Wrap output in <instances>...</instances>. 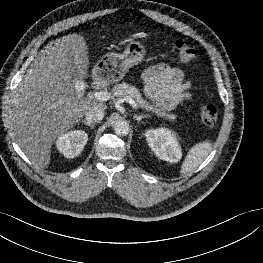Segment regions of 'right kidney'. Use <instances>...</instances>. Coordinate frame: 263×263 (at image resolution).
Listing matches in <instances>:
<instances>
[{
    "label": "right kidney",
    "mask_w": 263,
    "mask_h": 263,
    "mask_svg": "<svg viewBox=\"0 0 263 263\" xmlns=\"http://www.w3.org/2000/svg\"><path fill=\"white\" fill-rule=\"evenodd\" d=\"M87 140L88 135L85 131L74 130L62 134L56 142V147L66 158H74L82 152Z\"/></svg>",
    "instance_id": "right-kidney-1"
}]
</instances>
